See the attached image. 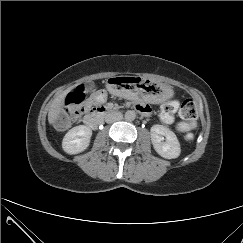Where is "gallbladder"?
<instances>
[{
	"mask_svg": "<svg viewBox=\"0 0 243 243\" xmlns=\"http://www.w3.org/2000/svg\"><path fill=\"white\" fill-rule=\"evenodd\" d=\"M93 87H94V83L93 82H89L86 85L87 90H91Z\"/></svg>",
	"mask_w": 243,
	"mask_h": 243,
	"instance_id": "1",
	"label": "gallbladder"
}]
</instances>
